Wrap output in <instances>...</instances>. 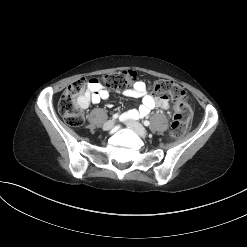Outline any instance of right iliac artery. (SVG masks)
I'll return each instance as SVG.
<instances>
[{"mask_svg": "<svg viewBox=\"0 0 247 247\" xmlns=\"http://www.w3.org/2000/svg\"><path fill=\"white\" fill-rule=\"evenodd\" d=\"M124 115V114H123ZM119 117V114H114L113 115V119H116V118H118Z\"/></svg>", "mask_w": 247, "mask_h": 247, "instance_id": "1", "label": "right iliac artery"}]
</instances>
